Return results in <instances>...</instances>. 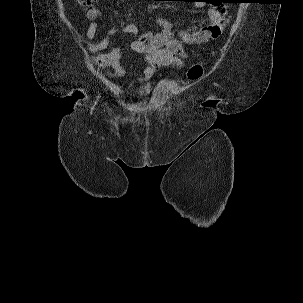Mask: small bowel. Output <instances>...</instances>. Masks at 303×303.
<instances>
[{
  "label": "small bowel",
  "instance_id": "c3829d8e",
  "mask_svg": "<svg viewBox=\"0 0 303 303\" xmlns=\"http://www.w3.org/2000/svg\"><path fill=\"white\" fill-rule=\"evenodd\" d=\"M102 16V11L92 7L87 12V18L91 21L87 29V37H95L98 23L97 20ZM226 24V16L223 11L216 8L209 12L208 19L201 25L183 30L180 38L174 37L172 24L162 18L155 19L158 28L156 33H146L140 35L137 25L128 23L120 28H112L108 34L99 42L89 47L93 60L104 70L105 74L111 78L119 79L125 75V70L121 65L123 51L120 48H112L105 52L109 47L111 37L120 32L126 35H133L135 40L131 42V48L142 55L146 66L140 83L148 82L155 73L162 67L179 68L183 65L186 53L183 45L188 43H200L218 37Z\"/></svg>",
  "mask_w": 303,
  "mask_h": 303
}]
</instances>
